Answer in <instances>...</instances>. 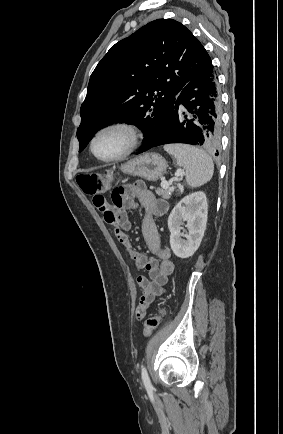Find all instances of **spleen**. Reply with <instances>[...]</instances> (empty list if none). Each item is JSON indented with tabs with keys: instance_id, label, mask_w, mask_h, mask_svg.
I'll use <instances>...</instances> for the list:
<instances>
[{
	"instance_id": "spleen-1",
	"label": "spleen",
	"mask_w": 283,
	"mask_h": 434,
	"mask_svg": "<svg viewBox=\"0 0 283 434\" xmlns=\"http://www.w3.org/2000/svg\"><path fill=\"white\" fill-rule=\"evenodd\" d=\"M164 149L176 159L178 166L184 168L189 186L199 187L212 178L213 161L201 149L183 144L165 145Z\"/></svg>"
}]
</instances>
